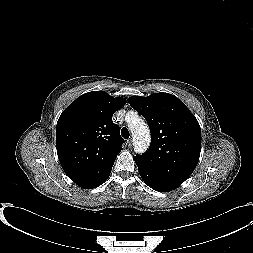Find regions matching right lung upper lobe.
Masks as SVG:
<instances>
[{
	"instance_id": "cb5924a9",
	"label": "right lung upper lobe",
	"mask_w": 253,
	"mask_h": 253,
	"mask_svg": "<svg viewBox=\"0 0 253 253\" xmlns=\"http://www.w3.org/2000/svg\"><path fill=\"white\" fill-rule=\"evenodd\" d=\"M125 100L102 91L78 97L60 115L56 127L57 154L67 176L86 187L108 176L124 142L113 113Z\"/></svg>"
}]
</instances>
